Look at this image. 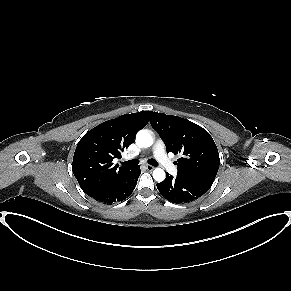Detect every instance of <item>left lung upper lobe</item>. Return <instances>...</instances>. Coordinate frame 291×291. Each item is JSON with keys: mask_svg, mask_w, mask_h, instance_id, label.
Returning a JSON list of instances; mask_svg holds the SVG:
<instances>
[{"mask_svg": "<svg viewBox=\"0 0 291 291\" xmlns=\"http://www.w3.org/2000/svg\"><path fill=\"white\" fill-rule=\"evenodd\" d=\"M150 123L168 153L182 154L177 162L178 175L214 182L220 165L219 153L205 129L181 117L152 111Z\"/></svg>", "mask_w": 291, "mask_h": 291, "instance_id": "1", "label": "left lung upper lobe"}]
</instances>
